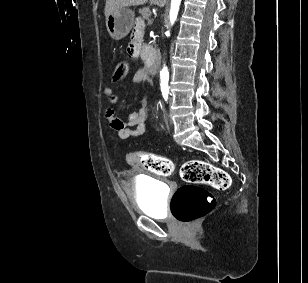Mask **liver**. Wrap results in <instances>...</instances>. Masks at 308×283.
<instances>
[{
    "label": "liver",
    "mask_w": 308,
    "mask_h": 283,
    "mask_svg": "<svg viewBox=\"0 0 308 283\" xmlns=\"http://www.w3.org/2000/svg\"><path fill=\"white\" fill-rule=\"evenodd\" d=\"M148 1L159 6H164L166 2V0H106L105 16L107 17L117 8L144 5Z\"/></svg>",
    "instance_id": "liver-1"
}]
</instances>
